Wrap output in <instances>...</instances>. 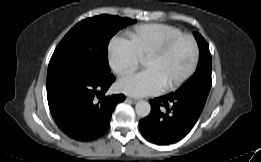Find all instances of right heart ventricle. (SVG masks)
Masks as SVG:
<instances>
[{"label": "right heart ventricle", "mask_w": 261, "mask_h": 162, "mask_svg": "<svg viewBox=\"0 0 261 162\" xmlns=\"http://www.w3.org/2000/svg\"><path fill=\"white\" fill-rule=\"evenodd\" d=\"M180 34V29L158 23L138 25L127 31L128 41L140 59H144L162 43Z\"/></svg>", "instance_id": "1"}]
</instances>
